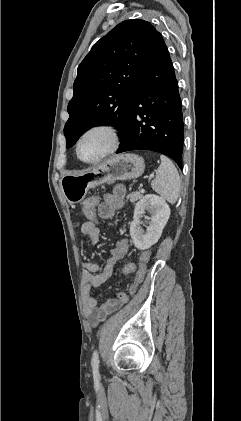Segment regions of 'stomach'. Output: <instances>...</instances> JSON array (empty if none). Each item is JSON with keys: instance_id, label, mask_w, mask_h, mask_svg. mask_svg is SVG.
<instances>
[{"instance_id": "stomach-1", "label": "stomach", "mask_w": 241, "mask_h": 421, "mask_svg": "<svg viewBox=\"0 0 241 421\" xmlns=\"http://www.w3.org/2000/svg\"><path fill=\"white\" fill-rule=\"evenodd\" d=\"M144 169L142 157L136 154L116 155L83 173L63 175L60 186L66 200L70 204H76L85 198L89 188L116 180L138 178Z\"/></svg>"}]
</instances>
